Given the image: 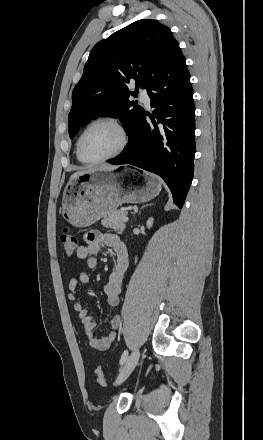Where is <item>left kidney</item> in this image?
Segmentation results:
<instances>
[{
  "label": "left kidney",
  "instance_id": "obj_1",
  "mask_svg": "<svg viewBox=\"0 0 263 440\" xmlns=\"http://www.w3.org/2000/svg\"><path fill=\"white\" fill-rule=\"evenodd\" d=\"M146 225H147V228H151L153 225V218H149Z\"/></svg>",
  "mask_w": 263,
  "mask_h": 440
}]
</instances>
